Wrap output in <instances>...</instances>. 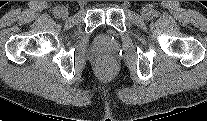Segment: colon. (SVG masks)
I'll use <instances>...</instances> for the list:
<instances>
[{"label":"colon","mask_w":207,"mask_h":121,"mask_svg":"<svg viewBox=\"0 0 207 121\" xmlns=\"http://www.w3.org/2000/svg\"><path fill=\"white\" fill-rule=\"evenodd\" d=\"M97 69L103 74L112 72L115 69V61L112 56L104 54L97 59Z\"/></svg>","instance_id":"1"}]
</instances>
